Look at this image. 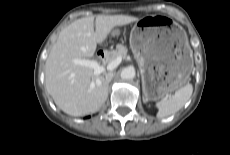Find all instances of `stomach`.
I'll return each instance as SVG.
<instances>
[{"instance_id":"1","label":"stomach","mask_w":230,"mask_h":155,"mask_svg":"<svg viewBox=\"0 0 230 155\" xmlns=\"http://www.w3.org/2000/svg\"><path fill=\"white\" fill-rule=\"evenodd\" d=\"M130 48L139 65L146 101L163 99L188 82L193 52L185 31L170 17L138 19L130 33Z\"/></svg>"}]
</instances>
